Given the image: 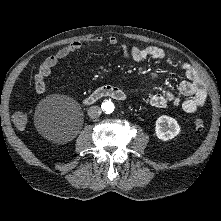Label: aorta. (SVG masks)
I'll return each mask as SVG.
<instances>
[{
	"instance_id": "762f6f07",
	"label": "aorta",
	"mask_w": 221,
	"mask_h": 221,
	"mask_svg": "<svg viewBox=\"0 0 221 221\" xmlns=\"http://www.w3.org/2000/svg\"><path fill=\"white\" fill-rule=\"evenodd\" d=\"M113 109H114V105L111 102H107L105 104V111L107 113H111L113 111Z\"/></svg>"
}]
</instances>
